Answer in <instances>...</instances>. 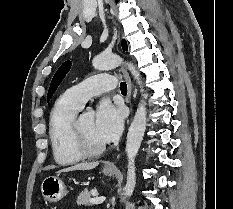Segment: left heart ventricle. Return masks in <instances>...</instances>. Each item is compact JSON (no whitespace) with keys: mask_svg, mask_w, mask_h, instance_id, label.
Here are the masks:
<instances>
[{"mask_svg":"<svg viewBox=\"0 0 233 209\" xmlns=\"http://www.w3.org/2000/svg\"><path fill=\"white\" fill-rule=\"evenodd\" d=\"M79 127L87 143L92 147H98L103 145L94 135V119L93 117H87L79 120Z\"/></svg>","mask_w":233,"mask_h":209,"instance_id":"obj_1","label":"left heart ventricle"}]
</instances>
